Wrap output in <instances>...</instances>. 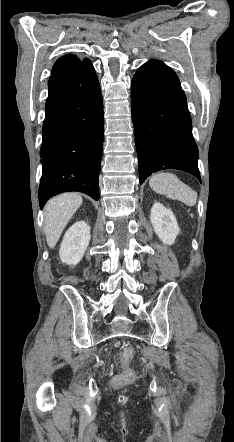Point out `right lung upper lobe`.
<instances>
[{"label": "right lung upper lobe", "mask_w": 234, "mask_h": 442, "mask_svg": "<svg viewBox=\"0 0 234 442\" xmlns=\"http://www.w3.org/2000/svg\"><path fill=\"white\" fill-rule=\"evenodd\" d=\"M89 62L90 60L87 58L79 59L76 55H65L55 62L52 68L51 77L71 73L78 68L87 65Z\"/></svg>", "instance_id": "obj_1"}]
</instances>
